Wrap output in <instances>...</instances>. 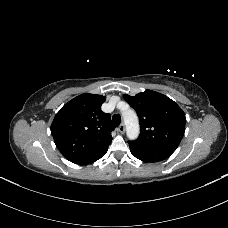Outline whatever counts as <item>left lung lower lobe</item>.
<instances>
[{"label": "left lung lower lobe", "instance_id": "1", "mask_svg": "<svg viewBox=\"0 0 228 228\" xmlns=\"http://www.w3.org/2000/svg\"><path fill=\"white\" fill-rule=\"evenodd\" d=\"M130 152L136 158L145 162H159L167 159L172 153L162 150L145 149L129 144Z\"/></svg>", "mask_w": 228, "mask_h": 228}]
</instances>
